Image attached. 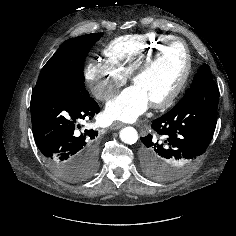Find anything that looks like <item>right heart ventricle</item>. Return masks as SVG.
I'll return each instance as SVG.
<instances>
[{
    "label": "right heart ventricle",
    "instance_id": "1",
    "mask_svg": "<svg viewBox=\"0 0 236 236\" xmlns=\"http://www.w3.org/2000/svg\"><path fill=\"white\" fill-rule=\"evenodd\" d=\"M172 39V35L162 33L126 35L111 41L104 55L116 70L127 76L153 50Z\"/></svg>",
    "mask_w": 236,
    "mask_h": 236
}]
</instances>
